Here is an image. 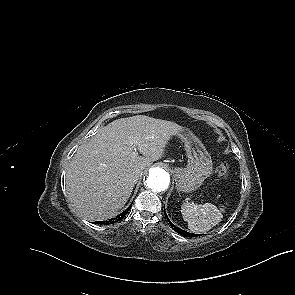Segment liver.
<instances>
[{
    "label": "liver",
    "instance_id": "obj_1",
    "mask_svg": "<svg viewBox=\"0 0 295 295\" xmlns=\"http://www.w3.org/2000/svg\"><path fill=\"white\" fill-rule=\"evenodd\" d=\"M178 124L144 115L102 127L72 158L66 173L67 197L89 220L114 217L128 201L144 169L164 155ZM136 149L143 155L133 153Z\"/></svg>",
    "mask_w": 295,
    "mask_h": 295
}]
</instances>
